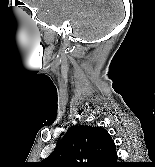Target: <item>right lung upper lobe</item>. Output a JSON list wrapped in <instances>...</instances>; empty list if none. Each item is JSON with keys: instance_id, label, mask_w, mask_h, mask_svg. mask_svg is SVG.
Instances as JSON below:
<instances>
[{"instance_id": "obj_1", "label": "right lung upper lobe", "mask_w": 155, "mask_h": 167, "mask_svg": "<svg viewBox=\"0 0 155 167\" xmlns=\"http://www.w3.org/2000/svg\"><path fill=\"white\" fill-rule=\"evenodd\" d=\"M43 167H114L117 153L114 141L102 127H70Z\"/></svg>"}]
</instances>
